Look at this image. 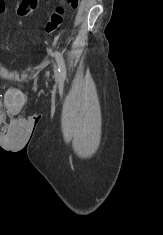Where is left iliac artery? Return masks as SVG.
Wrapping results in <instances>:
<instances>
[{"instance_id":"44dca946","label":"left iliac artery","mask_w":163,"mask_h":235,"mask_svg":"<svg viewBox=\"0 0 163 235\" xmlns=\"http://www.w3.org/2000/svg\"><path fill=\"white\" fill-rule=\"evenodd\" d=\"M55 57H56V61L58 64V71H59L60 78L64 80L66 78V65H65L64 58L59 51L55 53Z\"/></svg>"}]
</instances>
